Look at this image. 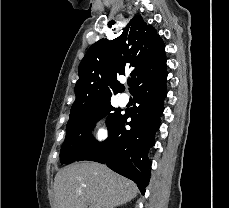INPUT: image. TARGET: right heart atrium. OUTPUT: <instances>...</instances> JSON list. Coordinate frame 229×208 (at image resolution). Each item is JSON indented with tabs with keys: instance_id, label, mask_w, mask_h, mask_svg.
Segmentation results:
<instances>
[{
	"instance_id": "obj_1",
	"label": "right heart atrium",
	"mask_w": 229,
	"mask_h": 208,
	"mask_svg": "<svg viewBox=\"0 0 229 208\" xmlns=\"http://www.w3.org/2000/svg\"><path fill=\"white\" fill-rule=\"evenodd\" d=\"M92 134L97 140H105L107 138L108 127L104 118H100L94 122Z\"/></svg>"
}]
</instances>
